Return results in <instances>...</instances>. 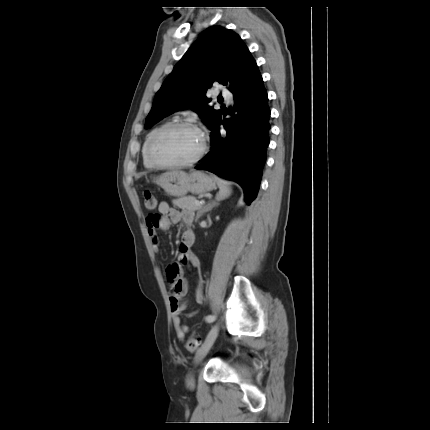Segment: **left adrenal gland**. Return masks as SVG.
<instances>
[{"mask_svg": "<svg viewBox=\"0 0 430 430\" xmlns=\"http://www.w3.org/2000/svg\"><path fill=\"white\" fill-rule=\"evenodd\" d=\"M220 203L212 201L205 205L196 216V220H198L204 213L211 211L214 207H218Z\"/></svg>", "mask_w": 430, "mask_h": 430, "instance_id": "left-adrenal-gland-1", "label": "left adrenal gland"}]
</instances>
